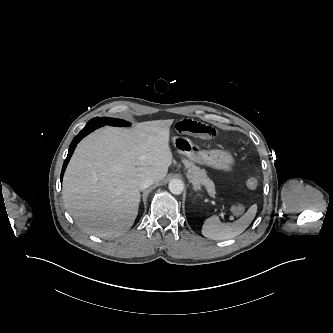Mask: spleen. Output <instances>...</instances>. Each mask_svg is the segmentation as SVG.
I'll return each mask as SVG.
<instances>
[{
    "mask_svg": "<svg viewBox=\"0 0 333 333\" xmlns=\"http://www.w3.org/2000/svg\"><path fill=\"white\" fill-rule=\"evenodd\" d=\"M236 210L235 207L232 208ZM257 205L253 204L247 212L233 223H222L217 216L205 220L202 227V235L213 240H227L240 235L254 219Z\"/></svg>",
    "mask_w": 333,
    "mask_h": 333,
    "instance_id": "1",
    "label": "spleen"
}]
</instances>
